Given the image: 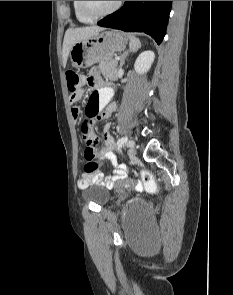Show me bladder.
Returning a JSON list of instances; mask_svg holds the SVG:
<instances>
[{
  "label": "bladder",
  "mask_w": 233,
  "mask_h": 295,
  "mask_svg": "<svg viewBox=\"0 0 233 295\" xmlns=\"http://www.w3.org/2000/svg\"><path fill=\"white\" fill-rule=\"evenodd\" d=\"M82 196L85 200L98 204L100 206L106 205L110 201L109 191L99 185L90 186L85 189L82 193ZM128 213H147V205L140 200H133L127 205Z\"/></svg>",
  "instance_id": "1"
}]
</instances>
